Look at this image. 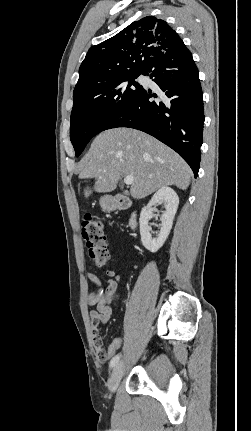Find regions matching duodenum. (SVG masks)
Listing matches in <instances>:
<instances>
[{
	"label": "duodenum",
	"instance_id": "410a0bca",
	"mask_svg": "<svg viewBox=\"0 0 251 431\" xmlns=\"http://www.w3.org/2000/svg\"><path fill=\"white\" fill-rule=\"evenodd\" d=\"M111 206L116 209L125 210L128 209L131 206V202L128 198L124 196H116ZM129 226L134 229L136 227V214L133 213L129 219Z\"/></svg>",
	"mask_w": 251,
	"mask_h": 431
}]
</instances>
